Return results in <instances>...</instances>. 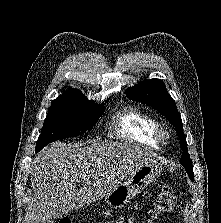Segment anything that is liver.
<instances>
[{"label": "liver", "instance_id": "liver-1", "mask_svg": "<svg viewBox=\"0 0 221 223\" xmlns=\"http://www.w3.org/2000/svg\"><path fill=\"white\" fill-rule=\"evenodd\" d=\"M156 161L153 152L122 142H54L32 162L30 223H54L68 212L108 195L140 163ZM83 186L76 190L77 183Z\"/></svg>", "mask_w": 221, "mask_h": 223}]
</instances>
